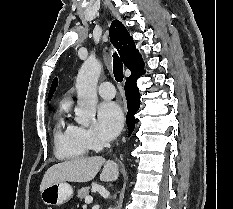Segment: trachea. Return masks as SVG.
Listing matches in <instances>:
<instances>
[{
    "label": "trachea",
    "instance_id": "obj_1",
    "mask_svg": "<svg viewBox=\"0 0 233 209\" xmlns=\"http://www.w3.org/2000/svg\"><path fill=\"white\" fill-rule=\"evenodd\" d=\"M113 73H114V77L115 80L117 82H122L124 75H123V64L119 58V56L114 53L113 54Z\"/></svg>",
    "mask_w": 233,
    "mask_h": 209
}]
</instances>
